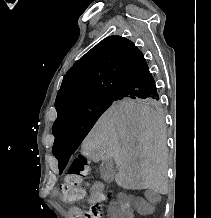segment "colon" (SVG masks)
Segmentation results:
<instances>
[{
  "mask_svg": "<svg viewBox=\"0 0 211 218\" xmlns=\"http://www.w3.org/2000/svg\"><path fill=\"white\" fill-rule=\"evenodd\" d=\"M91 176L89 160L84 155H79L71 164L69 171L59 187L60 197L66 203L81 200L85 196L88 179ZM101 204H93L83 214V218H102Z\"/></svg>",
  "mask_w": 211,
  "mask_h": 218,
  "instance_id": "colon-1",
  "label": "colon"
}]
</instances>
